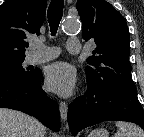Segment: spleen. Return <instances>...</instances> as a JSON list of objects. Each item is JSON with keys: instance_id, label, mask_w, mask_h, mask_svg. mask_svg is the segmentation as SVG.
Masks as SVG:
<instances>
[{"instance_id": "spleen-1", "label": "spleen", "mask_w": 144, "mask_h": 137, "mask_svg": "<svg viewBox=\"0 0 144 137\" xmlns=\"http://www.w3.org/2000/svg\"><path fill=\"white\" fill-rule=\"evenodd\" d=\"M116 126L118 131L114 137H144V132L133 123L119 121Z\"/></svg>"}]
</instances>
